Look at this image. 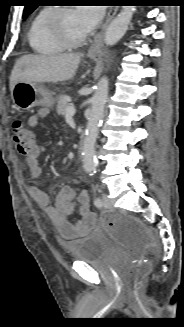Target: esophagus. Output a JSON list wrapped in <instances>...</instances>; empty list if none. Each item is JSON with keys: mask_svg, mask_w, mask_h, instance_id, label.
Here are the masks:
<instances>
[{"mask_svg": "<svg viewBox=\"0 0 184 327\" xmlns=\"http://www.w3.org/2000/svg\"><path fill=\"white\" fill-rule=\"evenodd\" d=\"M117 10H118V8H116V7L109 9L108 15L102 26L101 31L97 34L93 43L91 44L90 48L88 49V56L95 57V56H100L102 54L104 32H105L108 24L110 23V21L113 19V17L117 13Z\"/></svg>", "mask_w": 184, "mask_h": 327, "instance_id": "1", "label": "esophagus"}]
</instances>
